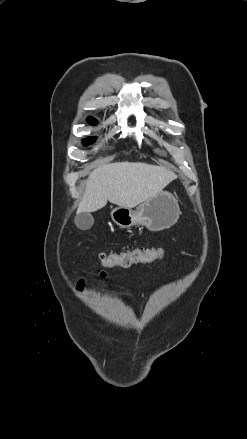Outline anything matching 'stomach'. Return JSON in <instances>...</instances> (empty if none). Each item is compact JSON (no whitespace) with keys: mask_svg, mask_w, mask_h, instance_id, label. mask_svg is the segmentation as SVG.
Segmentation results:
<instances>
[{"mask_svg":"<svg viewBox=\"0 0 247 439\" xmlns=\"http://www.w3.org/2000/svg\"><path fill=\"white\" fill-rule=\"evenodd\" d=\"M180 216L177 198L161 191L139 205L136 210L119 206L111 211L112 220L122 228L145 226L150 231H162L174 225Z\"/></svg>","mask_w":247,"mask_h":439,"instance_id":"stomach-1","label":"stomach"}]
</instances>
